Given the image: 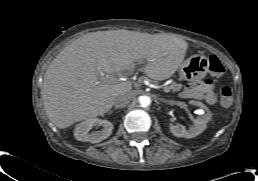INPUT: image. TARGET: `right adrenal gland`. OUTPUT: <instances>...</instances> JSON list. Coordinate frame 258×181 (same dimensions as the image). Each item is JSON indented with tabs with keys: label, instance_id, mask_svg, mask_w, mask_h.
Here are the masks:
<instances>
[{
	"label": "right adrenal gland",
	"instance_id": "obj_1",
	"mask_svg": "<svg viewBox=\"0 0 258 181\" xmlns=\"http://www.w3.org/2000/svg\"><path fill=\"white\" fill-rule=\"evenodd\" d=\"M112 111H113V110H111V111L109 112V114H111V113H112Z\"/></svg>",
	"mask_w": 258,
	"mask_h": 181
}]
</instances>
